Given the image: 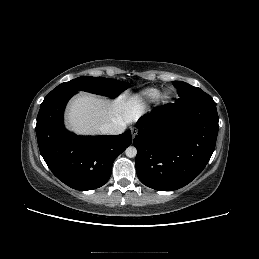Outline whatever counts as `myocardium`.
<instances>
[{"instance_id": "1", "label": "myocardium", "mask_w": 259, "mask_h": 259, "mask_svg": "<svg viewBox=\"0 0 259 259\" xmlns=\"http://www.w3.org/2000/svg\"><path fill=\"white\" fill-rule=\"evenodd\" d=\"M158 97H159V100H160L161 102H167V101L170 99V95H169V93L166 92V91L160 93Z\"/></svg>"}]
</instances>
